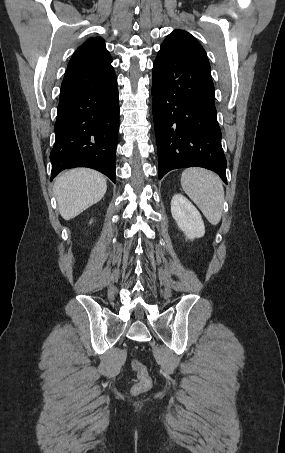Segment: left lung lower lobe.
<instances>
[{
  "label": "left lung lower lobe",
  "mask_w": 285,
  "mask_h": 453,
  "mask_svg": "<svg viewBox=\"0 0 285 453\" xmlns=\"http://www.w3.org/2000/svg\"><path fill=\"white\" fill-rule=\"evenodd\" d=\"M152 91L159 179L170 170L196 166L227 183L210 69L160 48Z\"/></svg>",
  "instance_id": "obj_1"
}]
</instances>
